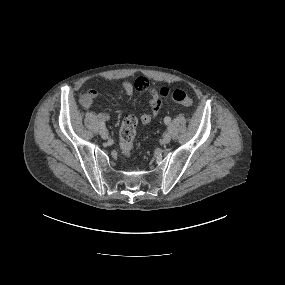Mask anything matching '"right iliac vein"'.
<instances>
[{"mask_svg":"<svg viewBox=\"0 0 285 285\" xmlns=\"http://www.w3.org/2000/svg\"><path fill=\"white\" fill-rule=\"evenodd\" d=\"M99 134L103 139H107L109 137V133H108L107 129H105V128H102L100 130Z\"/></svg>","mask_w":285,"mask_h":285,"instance_id":"obj_1","label":"right iliac vein"}]
</instances>
